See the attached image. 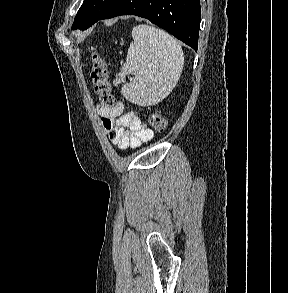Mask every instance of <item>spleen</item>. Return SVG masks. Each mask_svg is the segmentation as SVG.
I'll return each instance as SVG.
<instances>
[{"instance_id": "spleen-1", "label": "spleen", "mask_w": 288, "mask_h": 293, "mask_svg": "<svg viewBox=\"0 0 288 293\" xmlns=\"http://www.w3.org/2000/svg\"><path fill=\"white\" fill-rule=\"evenodd\" d=\"M132 38L126 63L116 77L123 80L132 73L134 78L122 86L121 93L141 106L157 104L170 94L180 78L183 50L167 32L145 24L133 28Z\"/></svg>"}]
</instances>
